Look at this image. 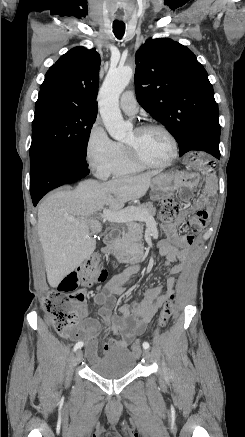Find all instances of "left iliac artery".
I'll list each match as a JSON object with an SVG mask.
<instances>
[{"instance_id": "left-iliac-artery-1", "label": "left iliac artery", "mask_w": 245, "mask_h": 437, "mask_svg": "<svg viewBox=\"0 0 245 437\" xmlns=\"http://www.w3.org/2000/svg\"><path fill=\"white\" fill-rule=\"evenodd\" d=\"M143 348H144V349H149V348H150L149 343H148V342H144V343H143Z\"/></svg>"}]
</instances>
